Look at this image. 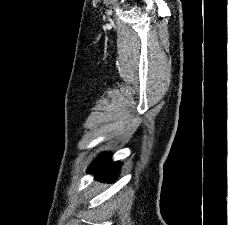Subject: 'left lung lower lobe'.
Masks as SVG:
<instances>
[{"label":"left lung lower lobe","mask_w":228,"mask_h":225,"mask_svg":"<svg viewBox=\"0 0 228 225\" xmlns=\"http://www.w3.org/2000/svg\"><path fill=\"white\" fill-rule=\"evenodd\" d=\"M119 163L110 161V154L103 153L90 165L89 172L95 174V179L112 182L119 171Z\"/></svg>","instance_id":"1"}]
</instances>
